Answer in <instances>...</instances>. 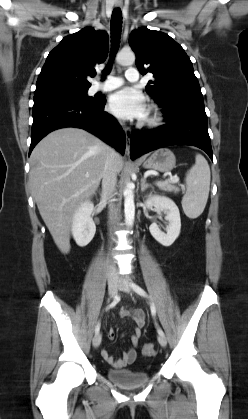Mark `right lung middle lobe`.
I'll list each match as a JSON object with an SVG mask.
<instances>
[{
	"label": "right lung middle lobe",
	"instance_id": "obj_1",
	"mask_svg": "<svg viewBox=\"0 0 248 419\" xmlns=\"http://www.w3.org/2000/svg\"><path fill=\"white\" fill-rule=\"evenodd\" d=\"M88 89H68V90H60L42 94H34V100L45 98V97H68L74 99H80L84 101H97L95 98H91L87 96Z\"/></svg>",
	"mask_w": 248,
	"mask_h": 419
}]
</instances>
